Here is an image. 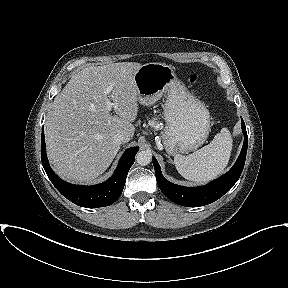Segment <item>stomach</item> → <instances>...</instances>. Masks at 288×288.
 I'll list each match as a JSON object with an SVG mask.
<instances>
[{
    "label": "stomach",
    "instance_id": "1",
    "mask_svg": "<svg viewBox=\"0 0 288 288\" xmlns=\"http://www.w3.org/2000/svg\"><path fill=\"white\" fill-rule=\"evenodd\" d=\"M134 83L142 105H152L167 94L163 111L166 125L161 137L169 155L188 153L205 143L210 133V113L177 78L172 66L144 64L136 71Z\"/></svg>",
    "mask_w": 288,
    "mask_h": 288
}]
</instances>
